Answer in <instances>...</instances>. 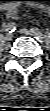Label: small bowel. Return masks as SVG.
<instances>
[{"label": "small bowel", "mask_w": 50, "mask_h": 111, "mask_svg": "<svg viewBox=\"0 0 50 111\" xmlns=\"http://www.w3.org/2000/svg\"><path fill=\"white\" fill-rule=\"evenodd\" d=\"M14 14H15V9L14 8L7 9L6 16L8 18H11Z\"/></svg>", "instance_id": "obj_1"}]
</instances>
